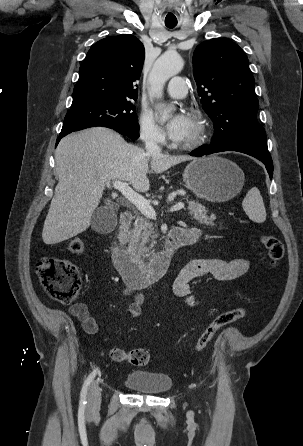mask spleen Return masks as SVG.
<instances>
[{"label": "spleen", "mask_w": 303, "mask_h": 446, "mask_svg": "<svg viewBox=\"0 0 303 446\" xmlns=\"http://www.w3.org/2000/svg\"><path fill=\"white\" fill-rule=\"evenodd\" d=\"M242 207L253 222L263 223L266 220L263 198L257 187H253L248 191L242 202Z\"/></svg>", "instance_id": "3e777b00"}]
</instances>
